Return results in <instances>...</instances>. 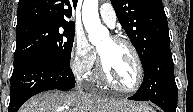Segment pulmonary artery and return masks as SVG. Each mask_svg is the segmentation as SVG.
Masks as SVG:
<instances>
[{"instance_id":"1","label":"pulmonary artery","mask_w":193,"mask_h":112,"mask_svg":"<svg viewBox=\"0 0 193 112\" xmlns=\"http://www.w3.org/2000/svg\"><path fill=\"white\" fill-rule=\"evenodd\" d=\"M99 15L102 21L109 26L110 28H114L116 24V13L110 3H104L100 6Z\"/></svg>"}]
</instances>
